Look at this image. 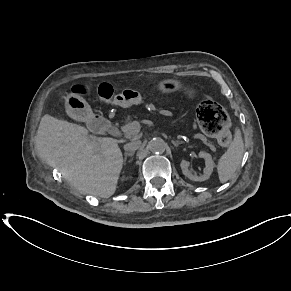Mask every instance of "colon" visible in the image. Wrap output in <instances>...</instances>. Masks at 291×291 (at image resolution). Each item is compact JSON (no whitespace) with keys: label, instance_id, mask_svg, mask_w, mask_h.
I'll return each mask as SVG.
<instances>
[{"label":"colon","instance_id":"5ec220e1","mask_svg":"<svg viewBox=\"0 0 291 291\" xmlns=\"http://www.w3.org/2000/svg\"><path fill=\"white\" fill-rule=\"evenodd\" d=\"M71 90L74 94L84 95L90 91V87L76 84ZM96 92L101 100L115 104L134 105L142 102L137 93L131 90L116 93L114 87L107 82L99 84ZM168 103L173 105L175 100L170 98ZM196 115L199 126L205 134L216 138L222 146L230 144V118L220 104L213 100H205L198 105Z\"/></svg>","mask_w":291,"mask_h":291}]
</instances>
